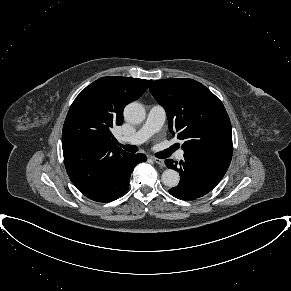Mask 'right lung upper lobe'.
I'll use <instances>...</instances> for the list:
<instances>
[{
	"instance_id": "1",
	"label": "right lung upper lobe",
	"mask_w": 291,
	"mask_h": 291,
	"mask_svg": "<svg viewBox=\"0 0 291 291\" xmlns=\"http://www.w3.org/2000/svg\"><path fill=\"white\" fill-rule=\"evenodd\" d=\"M152 80L103 77L72 103L64 122V164L72 183L90 191L116 159L128 154L116 146L112 128L123 122L124 107L145 93Z\"/></svg>"
}]
</instances>
